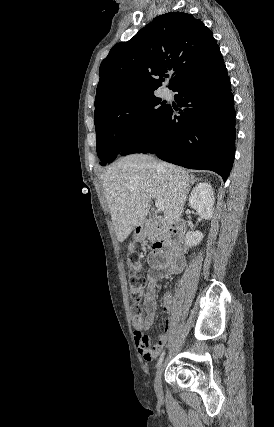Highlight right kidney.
<instances>
[{"label": "right kidney", "mask_w": 274, "mask_h": 427, "mask_svg": "<svg viewBox=\"0 0 274 427\" xmlns=\"http://www.w3.org/2000/svg\"><path fill=\"white\" fill-rule=\"evenodd\" d=\"M214 192L212 186L207 184V182H202V184H197L191 192L189 198V206L196 210L197 214L203 219H211L214 214ZM203 239L202 231H187L185 237L186 245H197Z\"/></svg>", "instance_id": "obj_1"}]
</instances>
